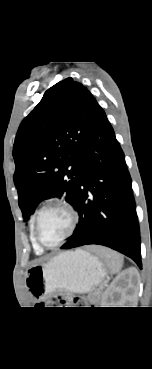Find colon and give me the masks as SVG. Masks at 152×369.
Returning a JSON list of instances; mask_svg holds the SVG:
<instances>
[{"instance_id": "obj_1", "label": "colon", "mask_w": 152, "mask_h": 369, "mask_svg": "<svg viewBox=\"0 0 152 369\" xmlns=\"http://www.w3.org/2000/svg\"><path fill=\"white\" fill-rule=\"evenodd\" d=\"M81 302H82V298L80 297L70 298L67 295H58L55 299L48 302V304H50L51 306H56V307H70L73 305H78ZM41 305L47 306L46 303H42Z\"/></svg>"}]
</instances>
